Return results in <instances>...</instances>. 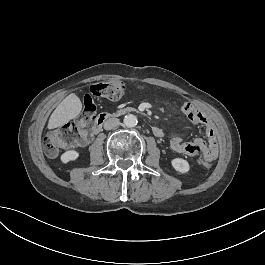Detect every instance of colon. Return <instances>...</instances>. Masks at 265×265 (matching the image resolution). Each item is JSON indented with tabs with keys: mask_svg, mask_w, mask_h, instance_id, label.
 I'll list each match as a JSON object with an SVG mask.
<instances>
[{
	"mask_svg": "<svg viewBox=\"0 0 265 265\" xmlns=\"http://www.w3.org/2000/svg\"><path fill=\"white\" fill-rule=\"evenodd\" d=\"M128 89V85L123 80H110V81H98L95 82L90 88V94L97 98H105L110 100H116L124 96ZM84 113L94 112L96 104L92 98H89L84 102ZM85 119L84 116H80L77 119V123H82ZM79 139V134L74 128L73 123H66L59 128L52 130L44 139V150L47 155L54 157L58 155L59 148L63 143H73ZM201 166L210 165L211 161L206 162L203 156L197 160Z\"/></svg>",
	"mask_w": 265,
	"mask_h": 265,
	"instance_id": "obj_1",
	"label": "colon"
}]
</instances>
